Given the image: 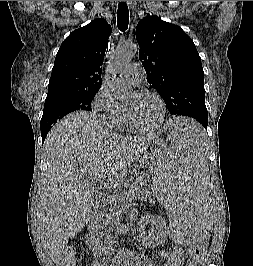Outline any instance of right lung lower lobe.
<instances>
[{"mask_svg": "<svg viewBox=\"0 0 253 266\" xmlns=\"http://www.w3.org/2000/svg\"><path fill=\"white\" fill-rule=\"evenodd\" d=\"M50 128L48 129H41V136H42V142H44L46 136H47V133L49 132Z\"/></svg>", "mask_w": 253, "mask_h": 266, "instance_id": "1", "label": "right lung lower lobe"}]
</instances>
